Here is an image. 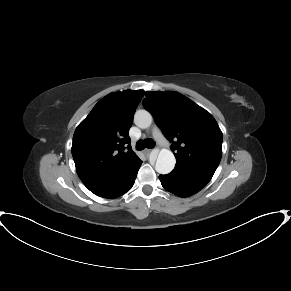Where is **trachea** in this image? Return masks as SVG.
Masks as SVG:
<instances>
[{"mask_svg": "<svg viewBox=\"0 0 291 291\" xmlns=\"http://www.w3.org/2000/svg\"><path fill=\"white\" fill-rule=\"evenodd\" d=\"M155 146V141L153 139L147 138L145 140H138L136 143L137 150H143L146 148H153Z\"/></svg>", "mask_w": 291, "mask_h": 291, "instance_id": "obj_1", "label": "trachea"}]
</instances>
